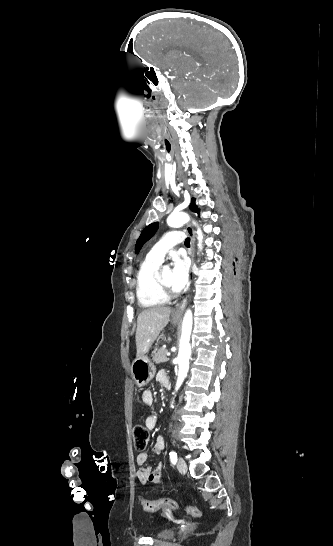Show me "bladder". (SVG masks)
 I'll return each instance as SVG.
<instances>
[{"instance_id": "obj_1", "label": "bladder", "mask_w": 333, "mask_h": 546, "mask_svg": "<svg viewBox=\"0 0 333 546\" xmlns=\"http://www.w3.org/2000/svg\"><path fill=\"white\" fill-rule=\"evenodd\" d=\"M174 536V532L172 529L170 528H166V529H163V530H160L157 534H156V537L158 539H170Z\"/></svg>"}]
</instances>
